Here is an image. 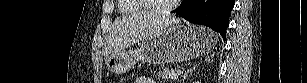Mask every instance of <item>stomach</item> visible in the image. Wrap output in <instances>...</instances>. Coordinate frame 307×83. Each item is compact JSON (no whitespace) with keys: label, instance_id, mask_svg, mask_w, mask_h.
Listing matches in <instances>:
<instances>
[{"label":"stomach","instance_id":"obj_1","mask_svg":"<svg viewBox=\"0 0 307 83\" xmlns=\"http://www.w3.org/2000/svg\"><path fill=\"white\" fill-rule=\"evenodd\" d=\"M217 42L214 32L197 26H169L144 39L135 50H121L105 56L108 70L130 71L138 62L164 65L183 62L210 52Z\"/></svg>","mask_w":307,"mask_h":83}]
</instances>
